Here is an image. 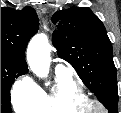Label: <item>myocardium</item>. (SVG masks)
<instances>
[{
	"mask_svg": "<svg viewBox=\"0 0 121 113\" xmlns=\"http://www.w3.org/2000/svg\"><path fill=\"white\" fill-rule=\"evenodd\" d=\"M93 107L99 108L100 113H108V108L106 107L104 102L98 98L86 97L79 103L78 109L84 111V113H92L91 111Z\"/></svg>",
	"mask_w": 121,
	"mask_h": 113,
	"instance_id": "1",
	"label": "myocardium"
}]
</instances>
